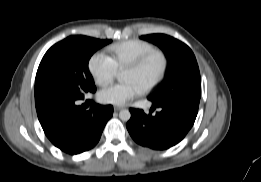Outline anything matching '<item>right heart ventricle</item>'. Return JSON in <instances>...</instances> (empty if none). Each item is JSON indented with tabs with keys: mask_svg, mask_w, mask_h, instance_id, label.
<instances>
[{
	"mask_svg": "<svg viewBox=\"0 0 261 182\" xmlns=\"http://www.w3.org/2000/svg\"><path fill=\"white\" fill-rule=\"evenodd\" d=\"M152 49L154 46L146 41L130 39L111 45L108 48V57L117 70H123L129 63Z\"/></svg>",
	"mask_w": 261,
	"mask_h": 182,
	"instance_id": "1",
	"label": "right heart ventricle"
}]
</instances>
